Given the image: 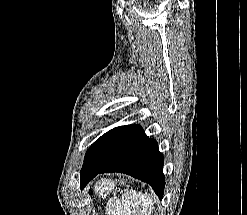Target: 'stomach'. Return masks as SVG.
Listing matches in <instances>:
<instances>
[{"instance_id":"stomach-1","label":"stomach","mask_w":247,"mask_h":215,"mask_svg":"<svg viewBox=\"0 0 247 215\" xmlns=\"http://www.w3.org/2000/svg\"><path fill=\"white\" fill-rule=\"evenodd\" d=\"M100 185H102L101 189L105 187V189L111 190V188L113 187V184L109 181H103L102 183H99L98 187H100Z\"/></svg>"}]
</instances>
